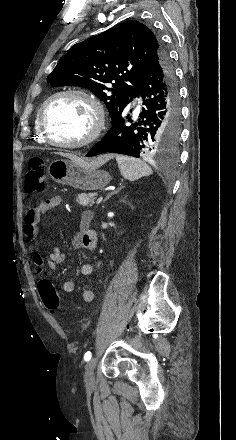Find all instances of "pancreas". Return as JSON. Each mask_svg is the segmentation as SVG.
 I'll list each match as a JSON object with an SVG mask.
<instances>
[{"label": "pancreas", "mask_w": 236, "mask_h": 440, "mask_svg": "<svg viewBox=\"0 0 236 440\" xmlns=\"http://www.w3.org/2000/svg\"><path fill=\"white\" fill-rule=\"evenodd\" d=\"M94 196L95 194L92 193H82L78 195L76 201L83 207H91L94 204Z\"/></svg>", "instance_id": "1"}]
</instances>
